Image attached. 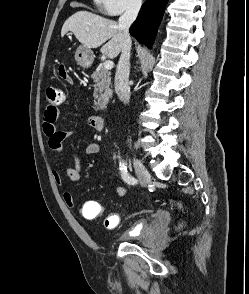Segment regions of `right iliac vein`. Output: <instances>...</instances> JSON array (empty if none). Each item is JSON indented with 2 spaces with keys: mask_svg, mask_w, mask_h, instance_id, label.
Instances as JSON below:
<instances>
[{
  "mask_svg": "<svg viewBox=\"0 0 249 294\" xmlns=\"http://www.w3.org/2000/svg\"><path fill=\"white\" fill-rule=\"evenodd\" d=\"M133 166L138 178L146 186L151 183V175L144 164L133 155Z\"/></svg>",
  "mask_w": 249,
  "mask_h": 294,
  "instance_id": "obj_1",
  "label": "right iliac vein"
}]
</instances>
